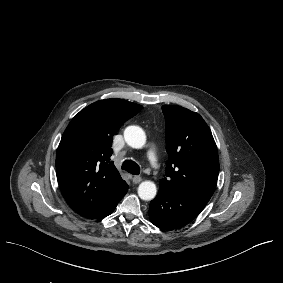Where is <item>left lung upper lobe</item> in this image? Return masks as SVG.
<instances>
[{
	"label": "left lung upper lobe",
	"mask_w": 283,
	"mask_h": 283,
	"mask_svg": "<svg viewBox=\"0 0 283 283\" xmlns=\"http://www.w3.org/2000/svg\"><path fill=\"white\" fill-rule=\"evenodd\" d=\"M169 160L160 188L207 203L214 193L219 157L212 133L203 118L181 106H162Z\"/></svg>",
	"instance_id": "obj_1"
}]
</instances>
